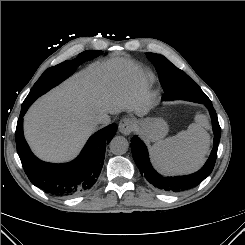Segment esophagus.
Instances as JSON below:
<instances>
[{"mask_svg": "<svg viewBox=\"0 0 245 245\" xmlns=\"http://www.w3.org/2000/svg\"><path fill=\"white\" fill-rule=\"evenodd\" d=\"M135 129V122L130 118H123L119 123V131L124 135H129Z\"/></svg>", "mask_w": 245, "mask_h": 245, "instance_id": "1", "label": "esophagus"}]
</instances>
